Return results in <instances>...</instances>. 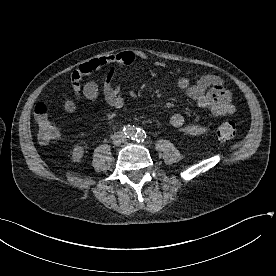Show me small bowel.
<instances>
[{"label":"small bowel","instance_id":"small-bowel-1","mask_svg":"<svg viewBox=\"0 0 276 276\" xmlns=\"http://www.w3.org/2000/svg\"><path fill=\"white\" fill-rule=\"evenodd\" d=\"M147 54L140 50L121 51L91 59L80 64L72 73L71 87L77 100L82 97L88 101H96L99 97V87L94 80L87 81L83 86L80 81L83 77L101 69L107 68L103 94L106 103L111 108H120L123 105V98L120 89L112 85L117 66H130L137 60H146ZM157 67H163L164 62L156 61ZM180 90L185 92L198 107L209 109L216 116L231 115L235 108L231 102V93L226 88L221 77L213 74H206L196 82L182 77L177 83ZM170 124L192 136L202 135L209 131V127L200 124H186L185 117L181 113H174L170 117Z\"/></svg>","mask_w":276,"mask_h":276}]
</instances>
